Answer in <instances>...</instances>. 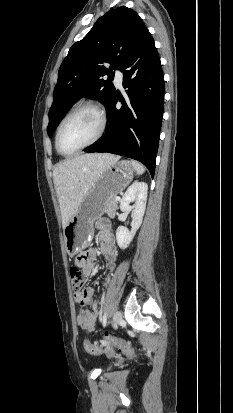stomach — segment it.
Listing matches in <instances>:
<instances>
[{"label": "stomach", "instance_id": "0dacf381", "mask_svg": "<svg viewBox=\"0 0 233 413\" xmlns=\"http://www.w3.org/2000/svg\"><path fill=\"white\" fill-rule=\"evenodd\" d=\"M133 165L126 160L107 167L89 189L77 211L63 229L67 253L76 255L85 248L93 235V223L105 212L106 202L132 181Z\"/></svg>", "mask_w": 233, "mask_h": 413}]
</instances>
